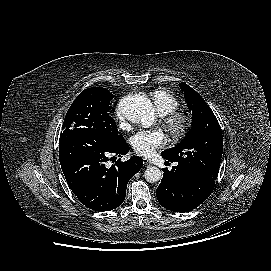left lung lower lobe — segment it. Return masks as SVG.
<instances>
[{
  "instance_id": "0a47b994",
  "label": "left lung lower lobe",
  "mask_w": 271,
  "mask_h": 271,
  "mask_svg": "<svg viewBox=\"0 0 271 271\" xmlns=\"http://www.w3.org/2000/svg\"><path fill=\"white\" fill-rule=\"evenodd\" d=\"M163 171L156 196L160 205L174 212L193 210L210 196L215 187L214 179L190 167L178 164L171 171L167 168Z\"/></svg>"
}]
</instances>
